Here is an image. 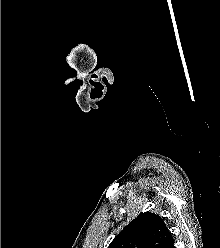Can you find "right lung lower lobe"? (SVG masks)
<instances>
[{"label":"right lung lower lobe","instance_id":"98d812e1","mask_svg":"<svg viewBox=\"0 0 220 248\" xmlns=\"http://www.w3.org/2000/svg\"><path fill=\"white\" fill-rule=\"evenodd\" d=\"M167 248H175V247H174V241H172V242L167 246Z\"/></svg>","mask_w":220,"mask_h":248}]
</instances>
